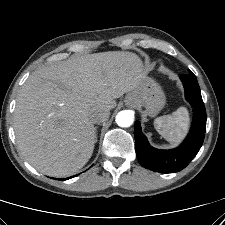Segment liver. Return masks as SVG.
Instances as JSON below:
<instances>
[{
    "label": "liver",
    "instance_id": "liver-1",
    "mask_svg": "<svg viewBox=\"0 0 225 225\" xmlns=\"http://www.w3.org/2000/svg\"><path fill=\"white\" fill-rule=\"evenodd\" d=\"M146 75L141 59L124 51L88 54L34 71L14 111L22 155L48 176L75 174L89 161L96 143L92 113L115 108L114 99L142 87Z\"/></svg>",
    "mask_w": 225,
    "mask_h": 225
}]
</instances>
